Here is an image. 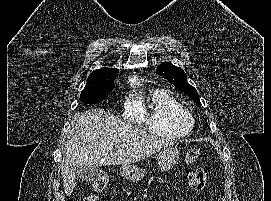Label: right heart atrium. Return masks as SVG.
<instances>
[{
    "label": "right heart atrium",
    "instance_id": "1",
    "mask_svg": "<svg viewBox=\"0 0 271 201\" xmlns=\"http://www.w3.org/2000/svg\"><path fill=\"white\" fill-rule=\"evenodd\" d=\"M124 116L131 122H140L143 120V112L137 102L133 98H128L124 103Z\"/></svg>",
    "mask_w": 271,
    "mask_h": 201
}]
</instances>
